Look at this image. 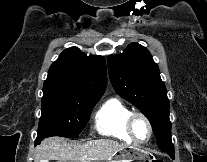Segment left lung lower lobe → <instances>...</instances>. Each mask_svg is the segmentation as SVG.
<instances>
[{
	"instance_id": "obj_1",
	"label": "left lung lower lobe",
	"mask_w": 207,
	"mask_h": 162,
	"mask_svg": "<svg viewBox=\"0 0 207 162\" xmlns=\"http://www.w3.org/2000/svg\"><path fill=\"white\" fill-rule=\"evenodd\" d=\"M164 152H166L174 160V148L173 149H167Z\"/></svg>"
}]
</instances>
